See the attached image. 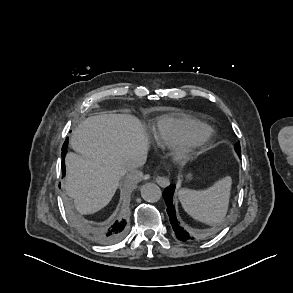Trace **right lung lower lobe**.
I'll return each mask as SVG.
<instances>
[{
	"instance_id": "right-lung-lower-lobe-1",
	"label": "right lung lower lobe",
	"mask_w": 293,
	"mask_h": 293,
	"mask_svg": "<svg viewBox=\"0 0 293 293\" xmlns=\"http://www.w3.org/2000/svg\"><path fill=\"white\" fill-rule=\"evenodd\" d=\"M68 139L62 147V172L65 175V155L67 152ZM127 222L124 219L116 220L109 228L99 229L94 235V240L101 244H112L119 241L126 233Z\"/></svg>"
}]
</instances>
